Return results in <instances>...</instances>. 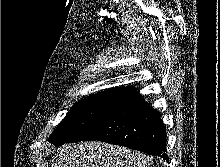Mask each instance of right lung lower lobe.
Returning a JSON list of instances; mask_svg holds the SVG:
<instances>
[{
	"instance_id": "obj_1",
	"label": "right lung lower lobe",
	"mask_w": 220,
	"mask_h": 167,
	"mask_svg": "<svg viewBox=\"0 0 220 167\" xmlns=\"http://www.w3.org/2000/svg\"><path fill=\"white\" fill-rule=\"evenodd\" d=\"M86 140L125 146L169 162L160 114L137 91L116 99L103 120L83 139Z\"/></svg>"
}]
</instances>
